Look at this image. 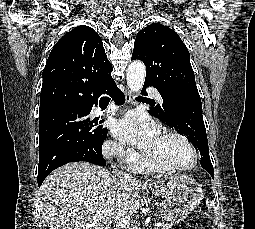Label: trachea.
<instances>
[{
	"label": "trachea",
	"instance_id": "trachea-1",
	"mask_svg": "<svg viewBox=\"0 0 255 229\" xmlns=\"http://www.w3.org/2000/svg\"><path fill=\"white\" fill-rule=\"evenodd\" d=\"M101 102L110 101V98L108 96H103L100 98Z\"/></svg>",
	"mask_w": 255,
	"mask_h": 229
}]
</instances>
